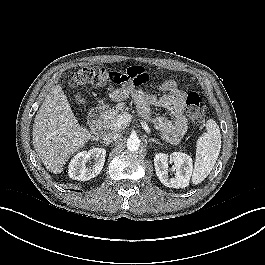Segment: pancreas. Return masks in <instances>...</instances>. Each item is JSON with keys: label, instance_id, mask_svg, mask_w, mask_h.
<instances>
[{"label": "pancreas", "instance_id": "1", "mask_svg": "<svg viewBox=\"0 0 265 265\" xmlns=\"http://www.w3.org/2000/svg\"><path fill=\"white\" fill-rule=\"evenodd\" d=\"M128 107L125 105V103H119L116 105L115 108H112L108 110L104 116L103 119V126L107 131H121L124 129V125L121 127H116V123L118 118L122 115L125 114L128 111Z\"/></svg>", "mask_w": 265, "mask_h": 265}]
</instances>
